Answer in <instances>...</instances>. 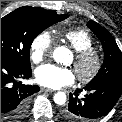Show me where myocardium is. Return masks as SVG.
I'll return each mask as SVG.
<instances>
[{
  "instance_id": "obj_1",
  "label": "myocardium",
  "mask_w": 122,
  "mask_h": 122,
  "mask_svg": "<svg viewBox=\"0 0 122 122\" xmlns=\"http://www.w3.org/2000/svg\"><path fill=\"white\" fill-rule=\"evenodd\" d=\"M90 63V69L84 71L83 67ZM103 64L102 54L94 47L76 51L74 57V68L78 80L82 83L91 82L100 72Z\"/></svg>"
}]
</instances>
